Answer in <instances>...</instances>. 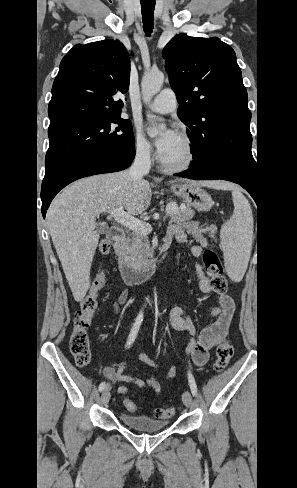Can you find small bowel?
I'll return each mask as SVG.
<instances>
[{
	"mask_svg": "<svg viewBox=\"0 0 297 488\" xmlns=\"http://www.w3.org/2000/svg\"><path fill=\"white\" fill-rule=\"evenodd\" d=\"M189 241L187 233L183 228L179 226H171L164 239V245L168 248L176 243L183 244ZM191 255L198 258L202 255L203 248L200 245H193L190 249ZM196 275L198 278V284L201 292L210 293L213 289L209 278L204 274L201 266L196 264ZM127 292H124L115 304L116 311L121 312L127 304ZM234 302L232 298L227 294H221L219 296L217 306L211 310V317L214 318V322L205 328L198 336H196V327L193 320L190 318L186 310L181 306L173 307L169 313V321L172 328L180 331H186L190 334L191 340L187 347V354L195 365L203 366L206 364L209 358V353L222 339L225 337L227 328L230 324L234 313ZM139 359L145 365L149 367H159L161 364L152 359L145 353L140 354ZM175 371L172 369L169 373V378H173ZM101 375L107 380V388H111L112 384L116 382H131L136 384L139 388L144 389L148 386L155 393L161 392V387L152 374H146V380L140 377L129 375L125 373V367L122 366L118 370L112 367H105L101 371ZM125 392L126 397L128 395V388L121 386L118 388L117 393L121 396V393Z\"/></svg>",
	"mask_w": 297,
	"mask_h": 488,
	"instance_id": "c3829d8e",
	"label": "small bowel"
}]
</instances>
